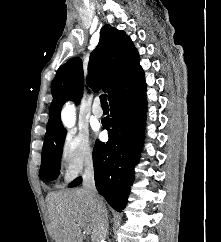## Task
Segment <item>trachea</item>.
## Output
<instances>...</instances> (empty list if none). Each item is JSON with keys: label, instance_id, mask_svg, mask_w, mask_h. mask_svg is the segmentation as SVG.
<instances>
[{"label": "trachea", "instance_id": "trachea-1", "mask_svg": "<svg viewBox=\"0 0 221 242\" xmlns=\"http://www.w3.org/2000/svg\"><path fill=\"white\" fill-rule=\"evenodd\" d=\"M100 101H101V106H108V102H107V96L106 94H102L100 96Z\"/></svg>", "mask_w": 221, "mask_h": 242}]
</instances>
